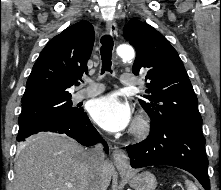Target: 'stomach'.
I'll use <instances>...</instances> for the list:
<instances>
[{"mask_svg": "<svg viewBox=\"0 0 221 190\" xmlns=\"http://www.w3.org/2000/svg\"><path fill=\"white\" fill-rule=\"evenodd\" d=\"M120 174L134 190H155L157 186L155 175L149 171L129 175L126 171L120 170Z\"/></svg>", "mask_w": 221, "mask_h": 190, "instance_id": "obj_1", "label": "stomach"}]
</instances>
